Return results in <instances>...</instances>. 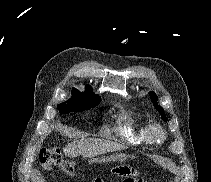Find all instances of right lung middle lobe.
Returning a JSON list of instances; mask_svg holds the SVG:
<instances>
[{"label": "right lung middle lobe", "mask_w": 211, "mask_h": 182, "mask_svg": "<svg viewBox=\"0 0 211 182\" xmlns=\"http://www.w3.org/2000/svg\"><path fill=\"white\" fill-rule=\"evenodd\" d=\"M101 101L99 96L93 95L87 91L81 93L77 89H72V97L58 105L60 113L68 114L70 112L89 110L97 106Z\"/></svg>", "instance_id": "dd1d6c3e"}]
</instances>
